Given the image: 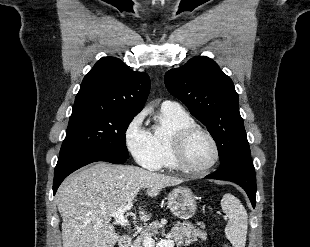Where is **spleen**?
I'll return each mask as SVG.
<instances>
[{
  "mask_svg": "<svg viewBox=\"0 0 310 247\" xmlns=\"http://www.w3.org/2000/svg\"><path fill=\"white\" fill-rule=\"evenodd\" d=\"M223 212L229 221L225 228V234L234 247H245L248 228V215L240 200L227 193L221 200Z\"/></svg>",
  "mask_w": 310,
  "mask_h": 247,
  "instance_id": "spleen-1",
  "label": "spleen"
}]
</instances>
